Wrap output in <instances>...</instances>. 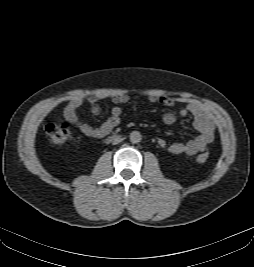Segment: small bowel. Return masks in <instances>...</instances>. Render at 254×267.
<instances>
[{"instance_id":"small-bowel-1","label":"small bowel","mask_w":254,"mask_h":267,"mask_svg":"<svg viewBox=\"0 0 254 267\" xmlns=\"http://www.w3.org/2000/svg\"><path fill=\"white\" fill-rule=\"evenodd\" d=\"M115 104H124L130 100L127 95H117L111 98ZM149 101L152 103H160L167 111L163 115V121L171 124L176 121L177 116L192 117L194 128L198 131V135L187 141L177 142L169 146V151L173 154H186L194 155L198 152L206 151L214 139V123L211 117L205 113L198 105L188 104L174 110V100L166 96H150ZM87 102L91 106V112L98 114L100 106L95 98H90ZM85 103L84 99L77 98L70 101L64 108L65 119L73 124L83 135L90 138H103L107 136L115 127H117L122 119L123 110L120 106L116 105L112 108L109 118L104 121L100 126H93L83 121L77 111ZM158 144L162 147L166 145L165 140L159 139Z\"/></svg>"}]
</instances>
